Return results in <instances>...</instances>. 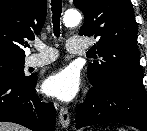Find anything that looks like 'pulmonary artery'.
Returning a JSON list of instances; mask_svg holds the SVG:
<instances>
[{
  "mask_svg": "<svg viewBox=\"0 0 147 131\" xmlns=\"http://www.w3.org/2000/svg\"><path fill=\"white\" fill-rule=\"evenodd\" d=\"M34 47L38 53L30 55L26 59V66L28 67H42L53 62L57 57V51L41 42H35ZM67 51L71 54H81L87 51V43L80 38H70L66 44Z\"/></svg>",
  "mask_w": 147,
  "mask_h": 131,
  "instance_id": "obj_1",
  "label": "pulmonary artery"
}]
</instances>
